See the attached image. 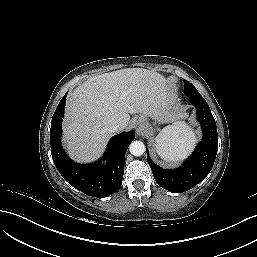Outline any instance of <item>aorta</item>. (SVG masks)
Instances as JSON below:
<instances>
[{
	"instance_id": "obj_1",
	"label": "aorta",
	"mask_w": 257,
	"mask_h": 257,
	"mask_svg": "<svg viewBox=\"0 0 257 257\" xmlns=\"http://www.w3.org/2000/svg\"><path fill=\"white\" fill-rule=\"evenodd\" d=\"M130 153L134 156H141L145 152V145L141 141H133L129 146Z\"/></svg>"
}]
</instances>
